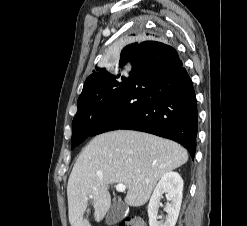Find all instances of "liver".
I'll return each instance as SVG.
<instances>
[{"label": "liver", "mask_w": 247, "mask_h": 226, "mask_svg": "<svg viewBox=\"0 0 247 226\" xmlns=\"http://www.w3.org/2000/svg\"><path fill=\"white\" fill-rule=\"evenodd\" d=\"M187 160L181 145L155 135L117 130L96 136L82 150L69 176L70 225L91 226L84 218L90 195L94 218L101 221L110 208L109 186L114 183L126 185L128 205H144L157 181Z\"/></svg>", "instance_id": "liver-1"}]
</instances>
